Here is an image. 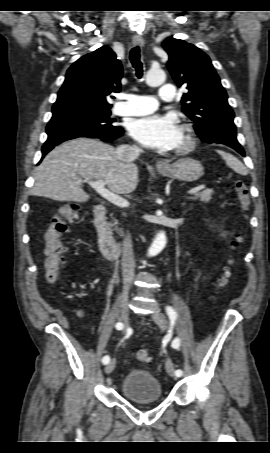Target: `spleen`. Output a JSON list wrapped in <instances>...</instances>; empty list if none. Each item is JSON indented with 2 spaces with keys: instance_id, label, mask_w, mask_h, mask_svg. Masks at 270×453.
<instances>
[{
  "instance_id": "1",
  "label": "spleen",
  "mask_w": 270,
  "mask_h": 453,
  "mask_svg": "<svg viewBox=\"0 0 270 453\" xmlns=\"http://www.w3.org/2000/svg\"><path fill=\"white\" fill-rule=\"evenodd\" d=\"M222 158L225 160L226 165L236 171L237 173L241 175H246L247 174V169L245 166L238 160L236 157H234L232 154L226 153L224 151L218 150L217 151Z\"/></svg>"
}]
</instances>
